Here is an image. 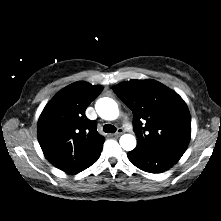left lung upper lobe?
Here are the masks:
<instances>
[{
  "label": "left lung upper lobe",
  "mask_w": 221,
  "mask_h": 221,
  "mask_svg": "<svg viewBox=\"0 0 221 221\" xmlns=\"http://www.w3.org/2000/svg\"><path fill=\"white\" fill-rule=\"evenodd\" d=\"M132 110L137 148L184 154L191 137V118L183 99L155 80H130L113 87Z\"/></svg>",
  "instance_id": "5c2ea615"
}]
</instances>
